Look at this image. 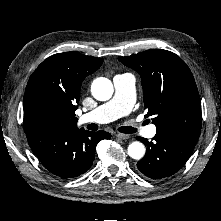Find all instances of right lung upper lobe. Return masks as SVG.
<instances>
[{"mask_svg": "<svg viewBox=\"0 0 221 221\" xmlns=\"http://www.w3.org/2000/svg\"><path fill=\"white\" fill-rule=\"evenodd\" d=\"M103 63V59L77 52L50 56L30 76L23 98L24 130L50 126L77 129L75 105L79 101L81 83ZM38 102L46 103L50 116L45 119L35 112Z\"/></svg>", "mask_w": 221, "mask_h": 221, "instance_id": "right-lung-upper-lobe-1", "label": "right lung upper lobe"}]
</instances>
